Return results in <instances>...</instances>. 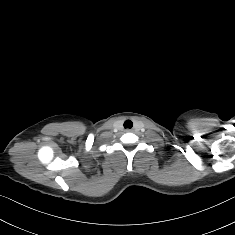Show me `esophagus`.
I'll return each mask as SVG.
<instances>
[{"label":"esophagus","instance_id":"1","mask_svg":"<svg viewBox=\"0 0 235 235\" xmlns=\"http://www.w3.org/2000/svg\"><path fill=\"white\" fill-rule=\"evenodd\" d=\"M133 129H126V132H132Z\"/></svg>","mask_w":235,"mask_h":235}]
</instances>
